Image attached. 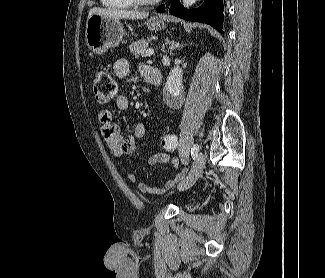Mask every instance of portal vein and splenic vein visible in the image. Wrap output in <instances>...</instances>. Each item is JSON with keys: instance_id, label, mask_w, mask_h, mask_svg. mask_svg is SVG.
<instances>
[{"instance_id": "obj_1", "label": "portal vein and splenic vein", "mask_w": 325, "mask_h": 278, "mask_svg": "<svg viewBox=\"0 0 325 278\" xmlns=\"http://www.w3.org/2000/svg\"><path fill=\"white\" fill-rule=\"evenodd\" d=\"M154 54V50L152 49V48H150V49H148L147 51H146V56H151V55H153Z\"/></svg>"}]
</instances>
